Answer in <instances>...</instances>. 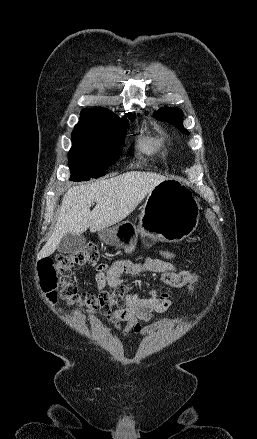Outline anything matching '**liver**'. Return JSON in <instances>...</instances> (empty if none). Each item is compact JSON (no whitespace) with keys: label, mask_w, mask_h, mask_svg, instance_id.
<instances>
[{"label":"liver","mask_w":257,"mask_h":439,"mask_svg":"<svg viewBox=\"0 0 257 439\" xmlns=\"http://www.w3.org/2000/svg\"><path fill=\"white\" fill-rule=\"evenodd\" d=\"M167 178L152 172L130 171L116 177L74 186L64 195L55 230L38 254H53L68 233L80 235L108 228L125 219L145 196ZM93 202L96 206L92 211Z\"/></svg>","instance_id":"1"}]
</instances>
